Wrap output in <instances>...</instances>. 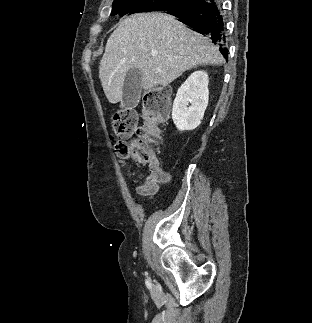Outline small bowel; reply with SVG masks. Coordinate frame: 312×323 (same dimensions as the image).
<instances>
[{
	"instance_id": "c3829d8e",
	"label": "small bowel",
	"mask_w": 312,
	"mask_h": 323,
	"mask_svg": "<svg viewBox=\"0 0 312 323\" xmlns=\"http://www.w3.org/2000/svg\"><path fill=\"white\" fill-rule=\"evenodd\" d=\"M120 164L125 167L128 164L127 160H121ZM148 174L137 186V193L140 196L153 197L160 190L161 185L168 184L172 181V176L165 172L161 166L158 158L154 157L147 165Z\"/></svg>"
}]
</instances>
